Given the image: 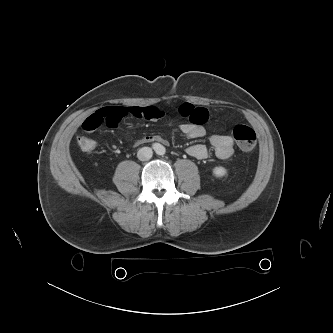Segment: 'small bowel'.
Returning <instances> with one entry per match:
<instances>
[{
	"instance_id": "obj_1",
	"label": "small bowel",
	"mask_w": 333,
	"mask_h": 333,
	"mask_svg": "<svg viewBox=\"0 0 333 333\" xmlns=\"http://www.w3.org/2000/svg\"><path fill=\"white\" fill-rule=\"evenodd\" d=\"M178 114L186 119V122L179 126L180 131L191 139H199L206 135L204 123L208 120L209 113L204 107L195 106L191 103H183L177 109ZM127 116L145 118L148 120H159L164 113L156 107H105L89 115L82 123L86 132H93L102 124L110 127H117ZM210 145L216 156L220 159H228L234 153L235 142L232 136L214 134L209 138ZM160 142L167 144V140L161 135H144L137 140V144ZM186 152L196 158L205 159L209 155V148L205 144L197 143L190 145Z\"/></svg>"
}]
</instances>
